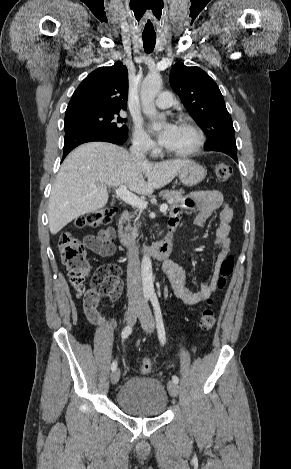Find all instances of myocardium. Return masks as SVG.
<instances>
[{
  "label": "myocardium",
  "mask_w": 291,
  "mask_h": 469,
  "mask_svg": "<svg viewBox=\"0 0 291 469\" xmlns=\"http://www.w3.org/2000/svg\"><path fill=\"white\" fill-rule=\"evenodd\" d=\"M178 125L188 126L194 132L195 134L194 144L192 145V147H190L188 150H185V151H172L166 148L164 149V151L166 154L173 156V157H179V158L190 157L196 154L204 145V141H205L204 133L201 130V128L196 124V122L190 117H181L178 120Z\"/></svg>",
  "instance_id": "1"
}]
</instances>
